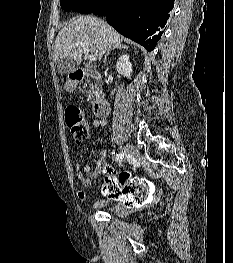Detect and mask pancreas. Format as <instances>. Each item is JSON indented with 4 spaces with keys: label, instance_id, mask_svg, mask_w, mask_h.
<instances>
[{
    "label": "pancreas",
    "instance_id": "pancreas-1",
    "mask_svg": "<svg viewBox=\"0 0 233 263\" xmlns=\"http://www.w3.org/2000/svg\"><path fill=\"white\" fill-rule=\"evenodd\" d=\"M90 90L88 91L89 99L92 100L97 94V86L89 83Z\"/></svg>",
    "mask_w": 233,
    "mask_h": 263
}]
</instances>
